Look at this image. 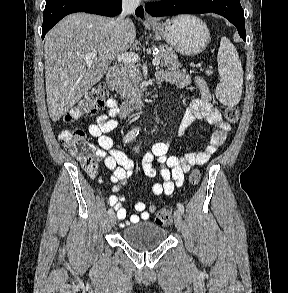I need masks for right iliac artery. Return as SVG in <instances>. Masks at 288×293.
I'll return each mask as SVG.
<instances>
[{
  "label": "right iliac artery",
  "mask_w": 288,
  "mask_h": 293,
  "mask_svg": "<svg viewBox=\"0 0 288 293\" xmlns=\"http://www.w3.org/2000/svg\"><path fill=\"white\" fill-rule=\"evenodd\" d=\"M139 134V129L138 128H135L133 130H131L130 132H128L126 134V136L124 137V142L127 143V142H130L131 140H133L137 135ZM114 211L113 209H109L108 210V214L111 215L113 214Z\"/></svg>",
  "instance_id": "82829eb1"
}]
</instances>
